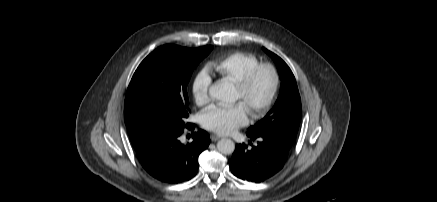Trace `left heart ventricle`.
Listing matches in <instances>:
<instances>
[{"mask_svg":"<svg viewBox=\"0 0 437 202\" xmlns=\"http://www.w3.org/2000/svg\"><path fill=\"white\" fill-rule=\"evenodd\" d=\"M272 86V77L269 71L262 70L254 78L250 88L243 92L237 86L235 100L241 101L250 112L251 109L262 103L268 96Z\"/></svg>","mask_w":437,"mask_h":202,"instance_id":"b2bd125f","label":"left heart ventricle"}]
</instances>
